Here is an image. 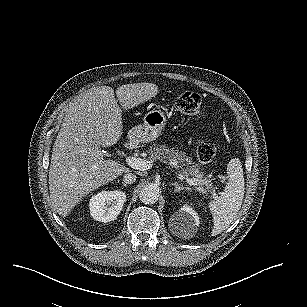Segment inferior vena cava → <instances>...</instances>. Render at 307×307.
I'll use <instances>...</instances> for the list:
<instances>
[{
	"label": "inferior vena cava",
	"mask_w": 307,
	"mask_h": 307,
	"mask_svg": "<svg viewBox=\"0 0 307 307\" xmlns=\"http://www.w3.org/2000/svg\"><path fill=\"white\" fill-rule=\"evenodd\" d=\"M123 180H124V183L126 184H132L136 181V175L128 172L124 174Z\"/></svg>",
	"instance_id": "obj_1"
}]
</instances>
